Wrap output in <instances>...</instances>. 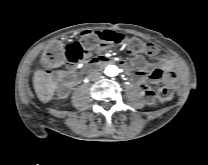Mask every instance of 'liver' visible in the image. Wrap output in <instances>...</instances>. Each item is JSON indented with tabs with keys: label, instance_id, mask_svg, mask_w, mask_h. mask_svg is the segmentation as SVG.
I'll list each match as a JSON object with an SVG mask.
<instances>
[{
	"label": "liver",
	"instance_id": "liver-1",
	"mask_svg": "<svg viewBox=\"0 0 208 165\" xmlns=\"http://www.w3.org/2000/svg\"><path fill=\"white\" fill-rule=\"evenodd\" d=\"M34 90L43 103L49 102L55 92L56 84L52 77L43 70H38L33 77Z\"/></svg>",
	"mask_w": 208,
	"mask_h": 165
}]
</instances>
